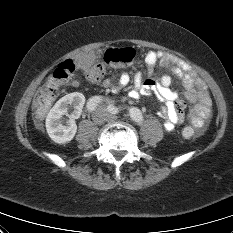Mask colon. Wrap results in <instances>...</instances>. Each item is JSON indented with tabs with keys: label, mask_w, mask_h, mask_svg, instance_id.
Returning <instances> with one entry per match:
<instances>
[{
	"label": "colon",
	"mask_w": 233,
	"mask_h": 233,
	"mask_svg": "<svg viewBox=\"0 0 233 233\" xmlns=\"http://www.w3.org/2000/svg\"><path fill=\"white\" fill-rule=\"evenodd\" d=\"M136 51L133 48L108 49L102 62L93 63L85 69V76L89 81H99L109 67H121L131 64L136 58ZM76 65L72 60L61 63L49 76L45 85L38 91L34 101V112L38 119L43 118L49 111L53 102L58 96L59 89L74 73ZM203 127L186 126L182 134L186 139L199 136Z\"/></svg>",
	"instance_id": "1"
}]
</instances>
